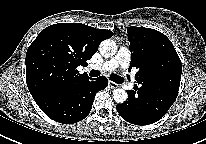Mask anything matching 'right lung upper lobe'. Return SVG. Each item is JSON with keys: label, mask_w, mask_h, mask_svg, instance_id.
I'll return each mask as SVG.
<instances>
[{"label": "right lung upper lobe", "mask_w": 206, "mask_h": 144, "mask_svg": "<svg viewBox=\"0 0 206 144\" xmlns=\"http://www.w3.org/2000/svg\"><path fill=\"white\" fill-rule=\"evenodd\" d=\"M112 36L109 30L81 23H58L42 30L29 46L25 61L27 86L35 102L88 80L77 67L87 64L98 45Z\"/></svg>", "instance_id": "cb5924a9"}]
</instances>
